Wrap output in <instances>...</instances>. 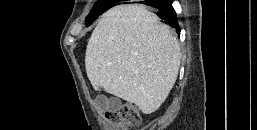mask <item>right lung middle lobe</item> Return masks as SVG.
<instances>
[{"label":"right lung middle lobe","mask_w":257,"mask_h":130,"mask_svg":"<svg viewBox=\"0 0 257 130\" xmlns=\"http://www.w3.org/2000/svg\"><path fill=\"white\" fill-rule=\"evenodd\" d=\"M117 1L115 0H98L90 11L89 15L86 17V24L89 26L92 21H94L97 16L102 14L106 9L111 7Z\"/></svg>","instance_id":"1"}]
</instances>
